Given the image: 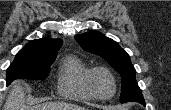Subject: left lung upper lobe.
<instances>
[{"instance_id": "left-lung-upper-lobe-1", "label": "left lung upper lobe", "mask_w": 171, "mask_h": 110, "mask_svg": "<svg viewBox=\"0 0 171 110\" xmlns=\"http://www.w3.org/2000/svg\"><path fill=\"white\" fill-rule=\"evenodd\" d=\"M75 38L85 51L103 57L121 74V103L136 101L144 104V98L135 79V68L127 52L117 42L97 31L76 35Z\"/></svg>"}]
</instances>
